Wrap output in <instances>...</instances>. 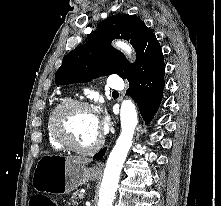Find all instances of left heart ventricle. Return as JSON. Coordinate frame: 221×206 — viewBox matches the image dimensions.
<instances>
[{
    "label": "left heart ventricle",
    "instance_id": "1",
    "mask_svg": "<svg viewBox=\"0 0 221 206\" xmlns=\"http://www.w3.org/2000/svg\"><path fill=\"white\" fill-rule=\"evenodd\" d=\"M64 125L73 141L80 147L91 146L100 134L93 112L86 109H71L65 116Z\"/></svg>",
    "mask_w": 221,
    "mask_h": 206
}]
</instances>
